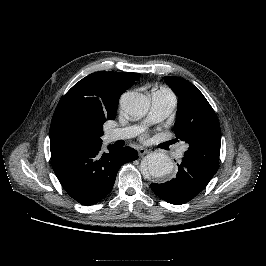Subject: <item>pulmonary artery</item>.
Listing matches in <instances>:
<instances>
[{
    "instance_id": "e3ab8cb5",
    "label": "pulmonary artery",
    "mask_w": 266,
    "mask_h": 266,
    "mask_svg": "<svg viewBox=\"0 0 266 266\" xmlns=\"http://www.w3.org/2000/svg\"><path fill=\"white\" fill-rule=\"evenodd\" d=\"M177 104L176 96L167 88H157L151 92V108L143 124L139 126H128L114 128L106 132V140L113 142L116 140L129 139L137 135L148 124L159 122L168 117ZM186 150V146L180 148V155Z\"/></svg>"
}]
</instances>
